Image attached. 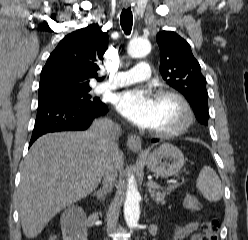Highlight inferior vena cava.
Listing matches in <instances>:
<instances>
[{
    "mask_svg": "<svg viewBox=\"0 0 248 240\" xmlns=\"http://www.w3.org/2000/svg\"><path fill=\"white\" fill-rule=\"evenodd\" d=\"M106 143L108 146V153L104 163V177L103 184L104 189L111 191L113 188L114 181L117 177V168L113 160L112 152L118 150L117 140L121 134V127L117 124L109 122L106 124Z\"/></svg>",
    "mask_w": 248,
    "mask_h": 240,
    "instance_id": "1",
    "label": "inferior vena cava"
}]
</instances>
